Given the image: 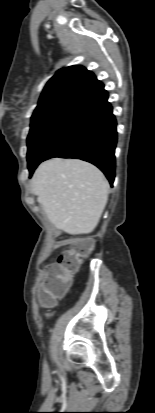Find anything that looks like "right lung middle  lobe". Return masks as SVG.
<instances>
[{"instance_id": "dd1d6c3e", "label": "right lung middle lobe", "mask_w": 155, "mask_h": 413, "mask_svg": "<svg viewBox=\"0 0 155 413\" xmlns=\"http://www.w3.org/2000/svg\"><path fill=\"white\" fill-rule=\"evenodd\" d=\"M78 105H69L47 112L31 121L27 138L28 168L38 164L57 142L77 111Z\"/></svg>"}]
</instances>
